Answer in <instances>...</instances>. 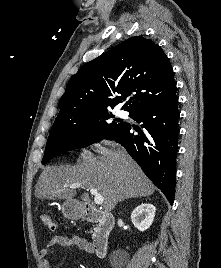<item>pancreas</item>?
Here are the masks:
<instances>
[{
    "label": "pancreas",
    "instance_id": "pancreas-1",
    "mask_svg": "<svg viewBox=\"0 0 221 268\" xmlns=\"http://www.w3.org/2000/svg\"><path fill=\"white\" fill-rule=\"evenodd\" d=\"M94 230V231H93ZM92 231H91V233H93L92 234V237L94 238L95 237V234H96V228H94Z\"/></svg>",
    "mask_w": 221,
    "mask_h": 268
}]
</instances>
